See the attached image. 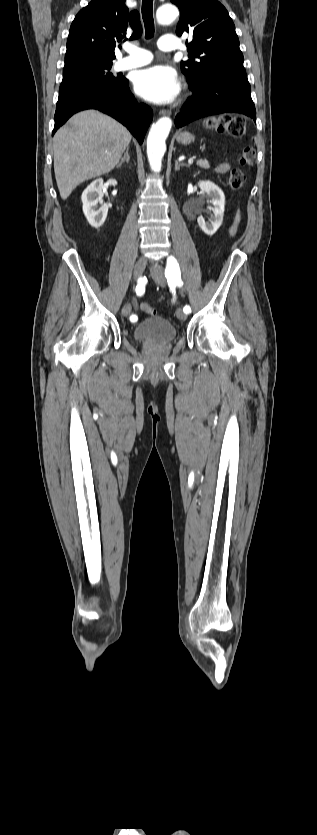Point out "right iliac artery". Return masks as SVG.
<instances>
[{
	"instance_id": "obj_1",
	"label": "right iliac artery",
	"mask_w": 317,
	"mask_h": 835,
	"mask_svg": "<svg viewBox=\"0 0 317 835\" xmlns=\"http://www.w3.org/2000/svg\"><path fill=\"white\" fill-rule=\"evenodd\" d=\"M135 290H136V294L138 296H142L144 294V292H145V281H144V279H142V278L138 279V285L136 286ZM130 320L135 321L136 316L135 315L130 316Z\"/></svg>"
}]
</instances>
